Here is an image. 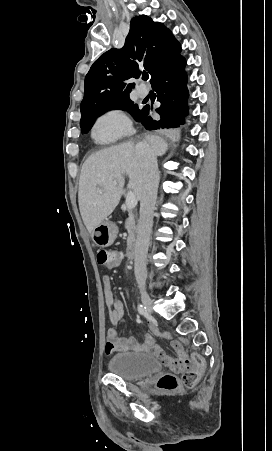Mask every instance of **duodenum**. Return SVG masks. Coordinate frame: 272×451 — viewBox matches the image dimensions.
Instances as JSON below:
<instances>
[{
    "mask_svg": "<svg viewBox=\"0 0 272 451\" xmlns=\"http://www.w3.org/2000/svg\"><path fill=\"white\" fill-rule=\"evenodd\" d=\"M136 256V248L135 246H129L127 249V257L130 260H133Z\"/></svg>",
    "mask_w": 272,
    "mask_h": 451,
    "instance_id": "410a0bca",
    "label": "duodenum"
}]
</instances>
